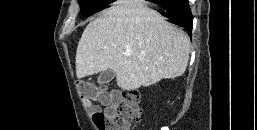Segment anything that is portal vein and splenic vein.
I'll return each instance as SVG.
<instances>
[{"instance_id": "1", "label": "portal vein and splenic vein", "mask_w": 257, "mask_h": 130, "mask_svg": "<svg viewBox=\"0 0 257 130\" xmlns=\"http://www.w3.org/2000/svg\"><path fill=\"white\" fill-rule=\"evenodd\" d=\"M126 55H127V56H129V55H130V53H126Z\"/></svg>"}]
</instances>
